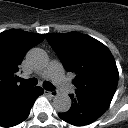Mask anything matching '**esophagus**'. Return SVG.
<instances>
[{
	"mask_svg": "<svg viewBox=\"0 0 128 128\" xmlns=\"http://www.w3.org/2000/svg\"><path fill=\"white\" fill-rule=\"evenodd\" d=\"M45 94L51 97H55L57 96L58 92L57 91H45Z\"/></svg>",
	"mask_w": 128,
	"mask_h": 128,
	"instance_id": "obj_1",
	"label": "esophagus"
}]
</instances>
